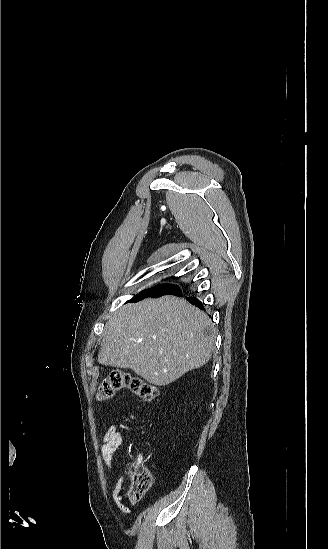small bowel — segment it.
<instances>
[{"mask_svg": "<svg viewBox=\"0 0 328 549\" xmlns=\"http://www.w3.org/2000/svg\"><path fill=\"white\" fill-rule=\"evenodd\" d=\"M122 440H123V435H122V433L119 430L117 425L111 426L104 435L103 441H102L101 446H100V451H101L102 459H103V461H104V463H105V465L108 469H111V467H112L113 454H114L115 450L117 449V447L121 444ZM136 461L139 464L143 463L144 462V456L139 455L137 457ZM123 482H124V476L121 475V476L118 477V479L116 480V482L114 484L112 496H113V500H114V503L117 506V508L120 511H122L124 513H127L128 508L125 506V504L123 503V501L120 497V490H121Z\"/></svg>", "mask_w": 328, "mask_h": 549, "instance_id": "obj_1", "label": "small bowel"}]
</instances>
